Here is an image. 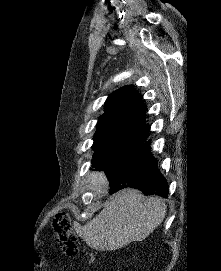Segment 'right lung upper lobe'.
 <instances>
[{
    "label": "right lung upper lobe",
    "instance_id": "right-lung-upper-lobe-1",
    "mask_svg": "<svg viewBox=\"0 0 221 271\" xmlns=\"http://www.w3.org/2000/svg\"><path fill=\"white\" fill-rule=\"evenodd\" d=\"M146 106L140 94L132 86H124L112 93L105 102V113L99 117L97 131L107 129H130L149 131L146 124Z\"/></svg>",
    "mask_w": 221,
    "mask_h": 271
}]
</instances>
